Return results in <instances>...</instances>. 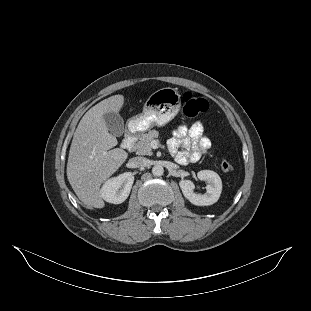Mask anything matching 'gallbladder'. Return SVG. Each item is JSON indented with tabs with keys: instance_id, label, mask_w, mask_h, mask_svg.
Listing matches in <instances>:
<instances>
[{
	"instance_id": "gallbladder-1",
	"label": "gallbladder",
	"mask_w": 311,
	"mask_h": 311,
	"mask_svg": "<svg viewBox=\"0 0 311 311\" xmlns=\"http://www.w3.org/2000/svg\"><path fill=\"white\" fill-rule=\"evenodd\" d=\"M108 130L117 137L124 133V119L119 113L109 112L103 115Z\"/></svg>"
}]
</instances>
